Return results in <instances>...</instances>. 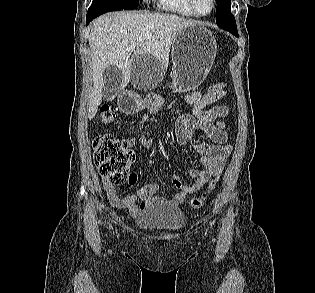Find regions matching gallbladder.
<instances>
[{"label": "gallbladder", "mask_w": 315, "mask_h": 293, "mask_svg": "<svg viewBox=\"0 0 315 293\" xmlns=\"http://www.w3.org/2000/svg\"><path fill=\"white\" fill-rule=\"evenodd\" d=\"M103 81V99L105 101H112L118 95L121 84L124 81V73L117 66L110 65L103 71Z\"/></svg>", "instance_id": "1"}]
</instances>
